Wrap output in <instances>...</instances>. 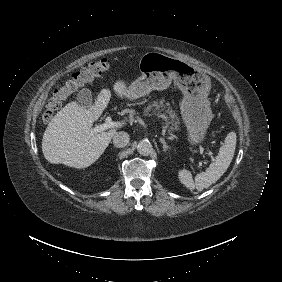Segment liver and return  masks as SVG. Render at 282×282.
<instances>
[{
    "mask_svg": "<svg viewBox=\"0 0 282 282\" xmlns=\"http://www.w3.org/2000/svg\"><path fill=\"white\" fill-rule=\"evenodd\" d=\"M114 91L120 97H130L125 83L118 80ZM111 97L109 89H102L95 104L86 109L75 101L68 103L49 122L42 139L45 159L53 164L86 168L93 164L109 145L115 129L99 134L91 129L107 107ZM134 99L139 96L133 94Z\"/></svg>",
    "mask_w": 282,
    "mask_h": 282,
    "instance_id": "obj_1",
    "label": "liver"
}]
</instances>
